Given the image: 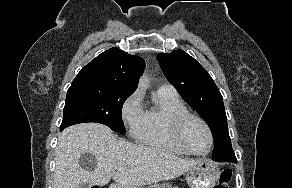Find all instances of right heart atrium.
<instances>
[{"label": "right heart atrium", "instance_id": "obj_1", "mask_svg": "<svg viewBox=\"0 0 292 188\" xmlns=\"http://www.w3.org/2000/svg\"><path fill=\"white\" fill-rule=\"evenodd\" d=\"M142 116L141 96L139 91H135L125 99L121 107V118L130 134H136L141 125Z\"/></svg>", "mask_w": 292, "mask_h": 188}]
</instances>
